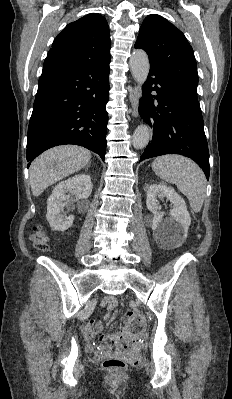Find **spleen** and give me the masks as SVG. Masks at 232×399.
Segmentation results:
<instances>
[{
    "label": "spleen",
    "instance_id": "spleen-1",
    "mask_svg": "<svg viewBox=\"0 0 232 399\" xmlns=\"http://www.w3.org/2000/svg\"><path fill=\"white\" fill-rule=\"evenodd\" d=\"M152 170L168 184H176L188 198L193 211H201L206 192V178L199 166L183 156H160L152 162Z\"/></svg>",
    "mask_w": 232,
    "mask_h": 399
}]
</instances>
